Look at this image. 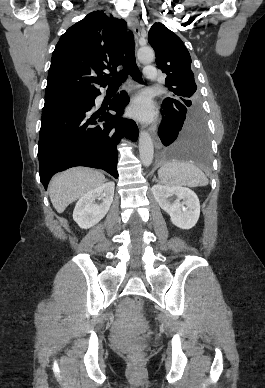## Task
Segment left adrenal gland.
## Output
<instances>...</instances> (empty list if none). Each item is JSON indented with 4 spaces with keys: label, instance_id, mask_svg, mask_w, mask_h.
I'll use <instances>...</instances> for the list:
<instances>
[{
    "label": "left adrenal gland",
    "instance_id": "left-adrenal-gland-1",
    "mask_svg": "<svg viewBox=\"0 0 265 388\" xmlns=\"http://www.w3.org/2000/svg\"><path fill=\"white\" fill-rule=\"evenodd\" d=\"M154 180H155V182H159V180H157L156 176H154L153 182H154Z\"/></svg>",
    "mask_w": 265,
    "mask_h": 388
}]
</instances>
